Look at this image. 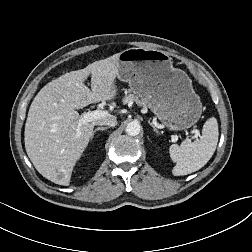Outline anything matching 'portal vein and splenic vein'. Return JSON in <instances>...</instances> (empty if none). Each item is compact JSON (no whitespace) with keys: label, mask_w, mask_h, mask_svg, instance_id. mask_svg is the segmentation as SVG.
Wrapping results in <instances>:
<instances>
[{"label":"portal vein and splenic vein","mask_w":252,"mask_h":252,"mask_svg":"<svg viewBox=\"0 0 252 252\" xmlns=\"http://www.w3.org/2000/svg\"><path fill=\"white\" fill-rule=\"evenodd\" d=\"M105 115H107V113L105 111H102V110L89 111V112L83 114V116L79 120V125L101 119V118L105 117ZM193 132L196 135H199L198 130H195Z\"/></svg>","instance_id":"18ae733b"}]
</instances>
